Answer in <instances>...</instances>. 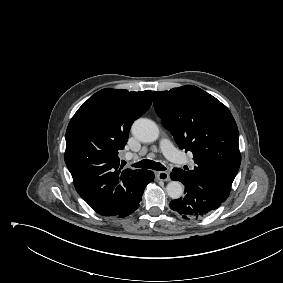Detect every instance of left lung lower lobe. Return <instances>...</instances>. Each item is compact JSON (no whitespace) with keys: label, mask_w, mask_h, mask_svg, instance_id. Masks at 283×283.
<instances>
[{"label":"left lung lower lobe","mask_w":283,"mask_h":283,"mask_svg":"<svg viewBox=\"0 0 283 283\" xmlns=\"http://www.w3.org/2000/svg\"><path fill=\"white\" fill-rule=\"evenodd\" d=\"M172 180H178L185 186V195L170 202V208L184 219L205 217L218 209L223 201L194 183L183 180L172 170Z\"/></svg>","instance_id":"left-lung-lower-lobe-1"}]
</instances>
